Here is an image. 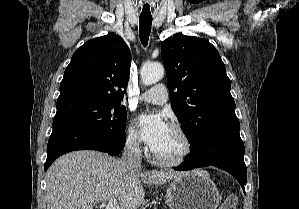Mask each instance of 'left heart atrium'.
Listing matches in <instances>:
<instances>
[{
    "label": "left heart atrium",
    "instance_id": "obj_1",
    "mask_svg": "<svg viewBox=\"0 0 299 209\" xmlns=\"http://www.w3.org/2000/svg\"><path fill=\"white\" fill-rule=\"evenodd\" d=\"M137 121L141 138L151 149L162 141L170 129L163 113H143Z\"/></svg>",
    "mask_w": 299,
    "mask_h": 209
}]
</instances>
